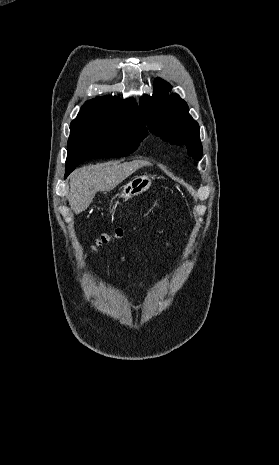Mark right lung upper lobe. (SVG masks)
I'll return each mask as SVG.
<instances>
[{
    "instance_id": "obj_1",
    "label": "right lung upper lobe",
    "mask_w": 279,
    "mask_h": 465,
    "mask_svg": "<svg viewBox=\"0 0 279 465\" xmlns=\"http://www.w3.org/2000/svg\"><path fill=\"white\" fill-rule=\"evenodd\" d=\"M101 124H132L139 126L147 134L145 123L133 98L121 101L117 97L106 95L88 100L71 122L70 129Z\"/></svg>"
}]
</instances>
